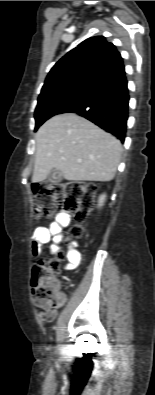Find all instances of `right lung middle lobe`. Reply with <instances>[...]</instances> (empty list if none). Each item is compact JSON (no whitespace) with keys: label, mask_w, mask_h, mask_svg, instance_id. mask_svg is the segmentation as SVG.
Masks as SVG:
<instances>
[{"label":"right lung middle lobe","mask_w":155,"mask_h":395,"mask_svg":"<svg viewBox=\"0 0 155 395\" xmlns=\"http://www.w3.org/2000/svg\"><path fill=\"white\" fill-rule=\"evenodd\" d=\"M100 86L87 81H70L42 89L35 109V130L52 116L64 113L84 101Z\"/></svg>","instance_id":"obj_1"}]
</instances>
